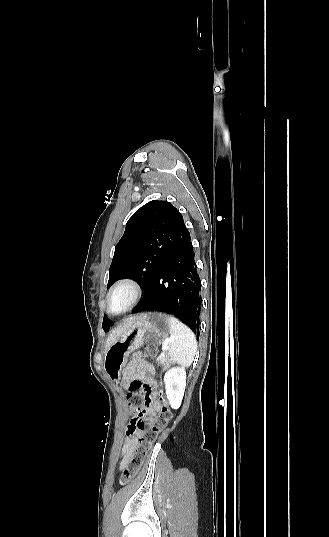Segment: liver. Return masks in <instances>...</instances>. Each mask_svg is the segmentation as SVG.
Here are the masks:
<instances>
[{
	"label": "liver",
	"mask_w": 329,
	"mask_h": 537,
	"mask_svg": "<svg viewBox=\"0 0 329 537\" xmlns=\"http://www.w3.org/2000/svg\"><path fill=\"white\" fill-rule=\"evenodd\" d=\"M136 320V317H129L122 321L120 325H118L115 329L110 331L107 340H106V347L105 351H107L111 345L129 328L132 326L134 321Z\"/></svg>",
	"instance_id": "liver-1"
}]
</instances>
